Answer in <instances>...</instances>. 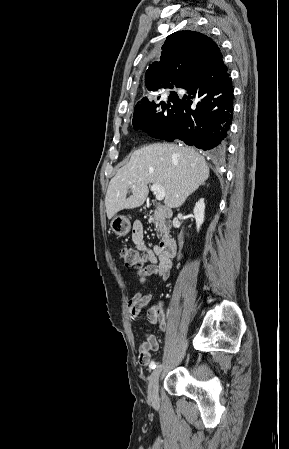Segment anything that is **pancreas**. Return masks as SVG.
I'll list each match as a JSON object with an SVG mask.
<instances>
[{
    "label": "pancreas",
    "mask_w": 289,
    "mask_h": 449,
    "mask_svg": "<svg viewBox=\"0 0 289 449\" xmlns=\"http://www.w3.org/2000/svg\"><path fill=\"white\" fill-rule=\"evenodd\" d=\"M150 223H154L159 237L163 238L169 232L170 226L166 223L165 218L159 214L150 216L148 219Z\"/></svg>",
    "instance_id": "1"
}]
</instances>
